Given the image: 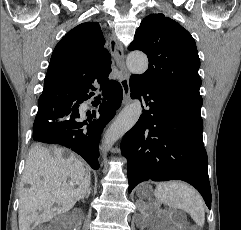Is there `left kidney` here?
Segmentation results:
<instances>
[{"mask_svg": "<svg viewBox=\"0 0 241 230\" xmlns=\"http://www.w3.org/2000/svg\"><path fill=\"white\" fill-rule=\"evenodd\" d=\"M145 225L150 226L149 230H173V227L171 225H165L163 223H159L158 221L155 222V217L150 214L147 215Z\"/></svg>", "mask_w": 241, "mask_h": 230, "instance_id": "obj_1", "label": "left kidney"}]
</instances>
